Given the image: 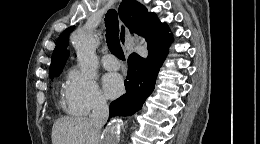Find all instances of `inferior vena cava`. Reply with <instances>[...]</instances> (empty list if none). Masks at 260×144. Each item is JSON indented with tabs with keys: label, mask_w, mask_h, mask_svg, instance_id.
<instances>
[{
	"label": "inferior vena cava",
	"mask_w": 260,
	"mask_h": 144,
	"mask_svg": "<svg viewBox=\"0 0 260 144\" xmlns=\"http://www.w3.org/2000/svg\"><path fill=\"white\" fill-rule=\"evenodd\" d=\"M109 117V108L106 100L98 98L93 106L92 113L90 115V122L99 131L103 125L107 122Z\"/></svg>",
	"instance_id": "602c4592"
}]
</instances>
